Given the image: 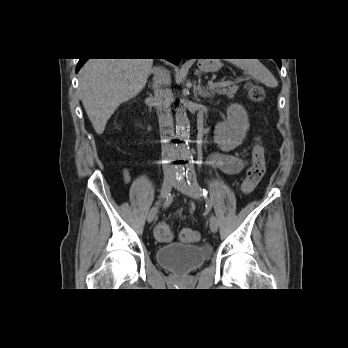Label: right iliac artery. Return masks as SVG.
Here are the masks:
<instances>
[{
	"label": "right iliac artery",
	"mask_w": 348,
	"mask_h": 348,
	"mask_svg": "<svg viewBox=\"0 0 348 348\" xmlns=\"http://www.w3.org/2000/svg\"><path fill=\"white\" fill-rule=\"evenodd\" d=\"M184 175H185L184 168H181L176 174L177 180L178 181L182 180L184 178Z\"/></svg>",
	"instance_id": "obj_1"
}]
</instances>
